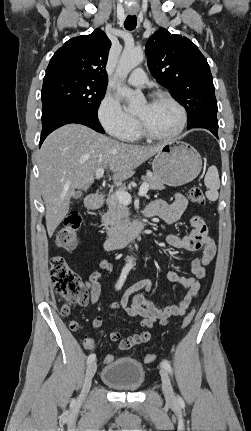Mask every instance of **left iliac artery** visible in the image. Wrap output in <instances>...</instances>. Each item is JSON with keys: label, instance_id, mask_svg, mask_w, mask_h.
Wrapping results in <instances>:
<instances>
[{"label": "left iliac artery", "instance_id": "1", "mask_svg": "<svg viewBox=\"0 0 251 431\" xmlns=\"http://www.w3.org/2000/svg\"><path fill=\"white\" fill-rule=\"evenodd\" d=\"M161 365L166 369V371L172 373V367L168 361L162 360Z\"/></svg>", "mask_w": 251, "mask_h": 431}]
</instances>
